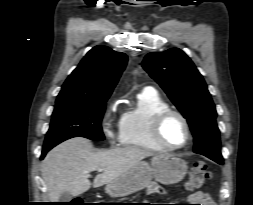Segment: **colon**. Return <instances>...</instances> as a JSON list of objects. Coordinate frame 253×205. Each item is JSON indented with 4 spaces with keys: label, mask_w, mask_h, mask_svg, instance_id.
Returning a JSON list of instances; mask_svg holds the SVG:
<instances>
[{
    "label": "colon",
    "mask_w": 253,
    "mask_h": 205,
    "mask_svg": "<svg viewBox=\"0 0 253 205\" xmlns=\"http://www.w3.org/2000/svg\"><path fill=\"white\" fill-rule=\"evenodd\" d=\"M211 178V173L207 165L203 161H198L193 164L190 169L189 179L186 184V189L194 191L204 186ZM70 205H85L83 200H75Z\"/></svg>",
    "instance_id": "obj_1"
}]
</instances>
